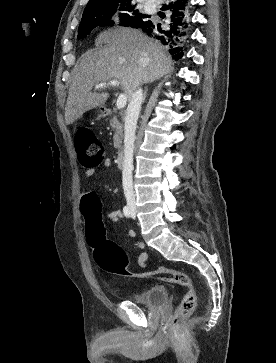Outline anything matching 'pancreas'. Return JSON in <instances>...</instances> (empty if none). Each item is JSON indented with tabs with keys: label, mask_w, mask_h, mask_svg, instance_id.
I'll return each mask as SVG.
<instances>
[{
	"label": "pancreas",
	"mask_w": 276,
	"mask_h": 363,
	"mask_svg": "<svg viewBox=\"0 0 276 363\" xmlns=\"http://www.w3.org/2000/svg\"><path fill=\"white\" fill-rule=\"evenodd\" d=\"M110 126L115 131L113 136L114 148L122 149L123 124L119 122L117 116H113V118L110 120Z\"/></svg>",
	"instance_id": "cf45deb5"
}]
</instances>
